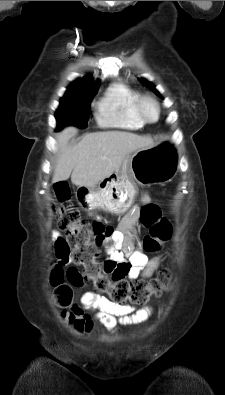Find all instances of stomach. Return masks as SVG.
I'll list each match as a JSON object with an SVG mask.
<instances>
[{
    "label": "stomach",
    "mask_w": 225,
    "mask_h": 395,
    "mask_svg": "<svg viewBox=\"0 0 225 395\" xmlns=\"http://www.w3.org/2000/svg\"><path fill=\"white\" fill-rule=\"evenodd\" d=\"M175 174L174 156L162 146L154 145L129 154L121 169L104 178L97 188L80 187L77 200L86 209L122 214L132 206L137 185L166 183Z\"/></svg>",
    "instance_id": "stomach-1"
}]
</instances>
